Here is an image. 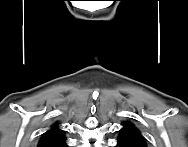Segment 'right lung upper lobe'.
I'll return each instance as SVG.
<instances>
[{"instance_id":"obj_1","label":"right lung upper lobe","mask_w":188,"mask_h":147,"mask_svg":"<svg viewBox=\"0 0 188 147\" xmlns=\"http://www.w3.org/2000/svg\"><path fill=\"white\" fill-rule=\"evenodd\" d=\"M39 147H66V138L64 131L55 123L46 133H44L39 141Z\"/></svg>"}]
</instances>
